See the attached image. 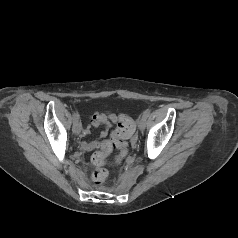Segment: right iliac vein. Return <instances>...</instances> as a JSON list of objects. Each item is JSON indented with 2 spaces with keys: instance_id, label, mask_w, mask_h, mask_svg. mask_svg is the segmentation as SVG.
<instances>
[{
  "instance_id": "1",
  "label": "right iliac vein",
  "mask_w": 238,
  "mask_h": 238,
  "mask_svg": "<svg viewBox=\"0 0 238 238\" xmlns=\"http://www.w3.org/2000/svg\"><path fill=\"white\" fill-rule=\"evenodd\" d=\"M72 130L75 134H80L81 130H82V125L81 122L79 120L73 121V127Z\"/></svg>"
}]
</instances>
